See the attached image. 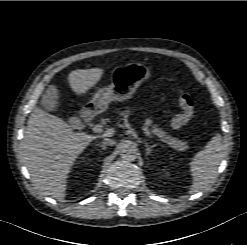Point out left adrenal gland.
Listing matches in <instances>:
<instances>
[{
    "instance_id": "a2214340",
    "label": "left adrenal gland",
    "mask_w": 247,
    "mask_h": 245,
    "mask_svg": "<svg viewBox=\"0 0 247 245\" xmlns=\"http://www.w3.org/2000/svg\"><path fill=\"white\" fill-rule=\"evenodd\" d=\"M154 146H155V145H149L147 142H145L146 155H150V154H151L152 148H153Z\"/></svg>"
}]
</instances>
